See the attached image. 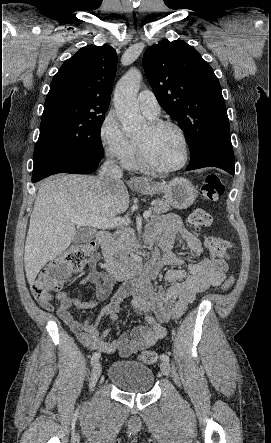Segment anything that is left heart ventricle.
Instances as JSON below:
<instances>
[{
  "instance_id": "left-heart-ventricle-1",
  "label": "left heart ventricle",
  "mask_w": 271,
  "mask_h": 443,
  "mask_svg": "<svg viewBox=\"0 0 271 443\" xmlns=\"http://www.w3.org/2000/svg\"><path fill=\"white\" fill-rule=\"evenodd\" d=\"M159 166L169 167L180 163L184 157V144L180 134L171 127L150 130L148 124L136 136Z\"/></svg>"
}]
</instances>
